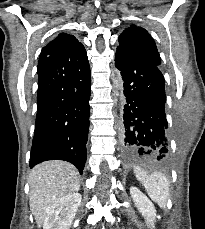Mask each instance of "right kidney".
Here are the masks:
<instances>
[{"label":"right kidney","mask_w":205,"mask_h":229,"mask_svg":"<svg viewBox=\"0 0 205 229\" xmlns=\"http://www.w3.org/2000/svg\"><path fill=\"white\" fill-rule=\"evenodd\" d=\"M82 196L79 193L69 194L55 202L47 212L43 229H69Z\"/></svg>","instance_id":"1"}]
</instances>
